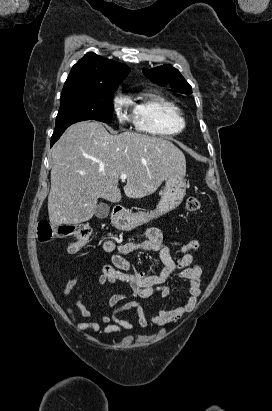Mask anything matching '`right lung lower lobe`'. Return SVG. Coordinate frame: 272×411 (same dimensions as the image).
Returning <instances> with one entry per match:
<instances>
[{
  "label": "right lung lower lobe",
  "mask_w": 272,
  "mask_h": 411,
  "mask_svg": "<svg viewBox=\"0 0 272 411\" xmlns=\"http://www.w3.org/2000/svg\"><path fill=\"white\" fill-rule=\"evenodd\" d=\"M60 137V136H59ZM59 137L52 138L51 139V146L59 139Z\"/></svg>",
  "instance_id": "right-lung-lower-lobe-1"
}]
</instances>
